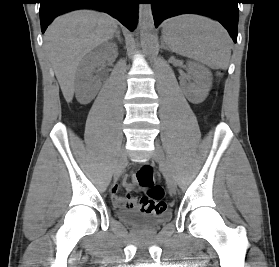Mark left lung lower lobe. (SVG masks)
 <instances>
[{"label":"left lung lower lobe","instance_id":"obj_1","mask_svg":"<svg viewBox=\"0 0 279 267\" xmlns=\"http://www.w3.org/2000/svg\"><path fill=\"white\" fill-rule=\"evenodd\" d=\"M150 3L156 27L166 18L197 13L218 20L237 42L238 0H150Z\"/></svg>","mask_w":279,"mask_h":267}]
</instances>
